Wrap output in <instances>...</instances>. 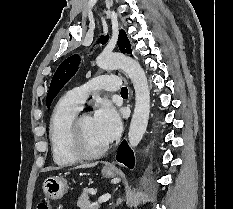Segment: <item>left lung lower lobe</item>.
Wrapping results in <instances>:
<instances>
[{
    "label": "left lung lower lobe",
    "mask_w": 233,
    "mask_h": 209,
    "mask_svg": "<svg viewBox=\"0 0 233 209\" xmlns=\"http://www.w3.org/2000/svg\"><path fill=\"white\" fill-rule=\"evenodd\" d=\"M116 160L125 164L128 168H133L134 156L128 144L123 141L118 149Z\"/></svg>",
    "instance_id": "obj_1"
}]
</instances>
